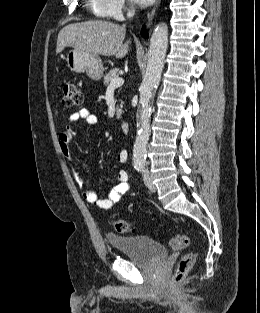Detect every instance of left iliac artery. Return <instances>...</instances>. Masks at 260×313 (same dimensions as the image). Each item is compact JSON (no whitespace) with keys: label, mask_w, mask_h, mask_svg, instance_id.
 Wrapping results in <instances>:
<instances>
[{"label":"left iliac artery","mask_w":260,"mask_h":313,"mask_svg":"<svg viewBox=\"0 0 260 313\" xmlns=\"http://www.w3.org/2000/svg\"><path fill=\"white\" fill-rule=\"evenodd\" d=\"M138 167H139L138 171H140V172L143 171V169H144L143 165H139Z\"/></svg>","instance_id":"44dca946"}]
</instances>
